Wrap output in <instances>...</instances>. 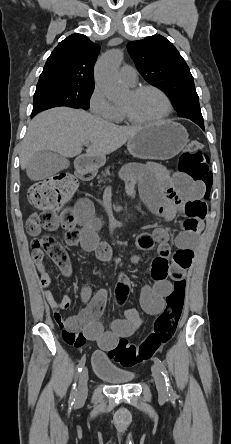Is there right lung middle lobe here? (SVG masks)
Instances as JSON below:
<instances>
[{"label": "right lung middle lobe", "mask_w": 231, "mask_h": 444, "mask_svg": "<svg viewBox=\"0 0 231 444\" xmlns=\"http://www.w3.org/2000/svg\"><path fill=\"white\" fill-rule=\"evenodd\" d=\"M93 86L48 85L37 87L34 94L32 117L43 110L68 106L88 109V99Z\"/></svg>", "instance_id": "dd1d6c3e"}]
</instances>
